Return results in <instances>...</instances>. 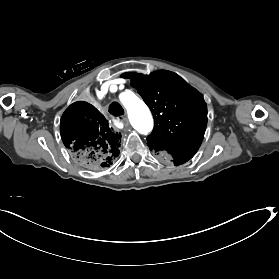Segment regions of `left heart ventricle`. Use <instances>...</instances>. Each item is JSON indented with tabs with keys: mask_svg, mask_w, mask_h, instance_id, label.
<instances>
[{
	"mask_svg": "<svg viewBox=\"0 0 279 279\" xmlns=\"http://www.w3.org/2000/svg\"><path fill=\"white\" fill-rule=\"evenodd\" d=\"M104 74H107V70L104 71Z\"/></svg>",
	"mask_w": 279,
	"mask_h": 279,
	"instance_id": "b2bd125f",
	"label": "left heart ventricle"
}]
</instances>
